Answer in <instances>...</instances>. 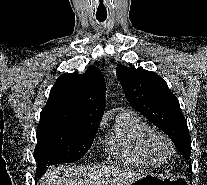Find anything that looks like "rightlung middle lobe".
<instances>
[{
  "instance_id": "dd1d6c3e",
  "label": "right lung middle lobe",
  "mask_w": 207,
  "mask_h": 185,
  "mask_svg": "<svg viewBox=\"0 0 207 185\" xmlns=\"http://www.w3.org/2000/svg\"><path fill=\"white\" fill-rule=\"evenodd\" d=\"M97 130L98 126L81 125L69 120L40 119L34 152L37 176L46 171V166L72 163L82 158L91 148Z\"/></svg>"
}]
</instances>
